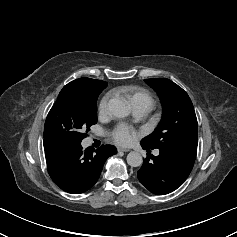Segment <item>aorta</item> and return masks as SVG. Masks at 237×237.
Returning a JSON list of instances; mask_svg holds the SVG:
<instances>
[{
  "mask_svg": "<svg viewBox=\"0 0 237 237\" xmlns=\"http://www.w3.org/2000/svg\"><path fill=\"white\" fill-rule=\"evenodd\" d=\"M110 113L117 118H125L129 115L130 110L125 101L120 98H112L108 103ZM143 158L139 152L131 151L127 155V163L131 167H139L142 165Z\"/></svg>",
  "mask_w": 237,
  "mask_h": 237,
  "instance_id": "762f6f07",
  "label": "aorta"
}]
</instances>
